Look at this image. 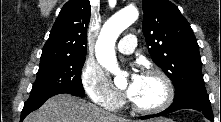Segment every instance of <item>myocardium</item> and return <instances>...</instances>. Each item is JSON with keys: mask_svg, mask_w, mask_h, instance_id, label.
<instances>
[{"mask_svg": "<svg viewBox=\"0 0 221 122\" xmlns=\"http://www.w3.org/2000/svg\"><path fill=\"white\" fill-rule=\"evenodd\" d=\"M142 76L158 77L164 86V91H165L164 98L158 105L153 106V107H141L137 105L136 103H134L131 100V98H129L128 103L130 107L132 108V110L139 114L148 115V114L160 113L164 111L165 109H167L172 104L173 99H174V86L169 76L164 71L158 68L147 69L143 72Z\"/></svg>", "mask_w": 221, "mask_h": 122, "instance_id": "f54148a6", "label": "myocardium"}]
</instances>
